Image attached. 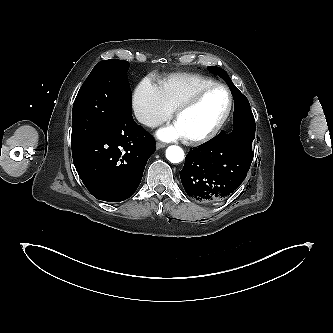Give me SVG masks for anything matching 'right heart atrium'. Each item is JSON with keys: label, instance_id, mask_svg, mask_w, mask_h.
<instances>
[{"label": "right heart atrium", "instance_id": "d8ad5b80", "mask_svg": "<svg viewBox=\"0 0 333 333\" xmlns=\"http://www.w3.org/2000/svg\"><path fill=\"white\" fill-rule=\"evenodd\" d=\"M132 105L137 120L151 128L167 121L172 114L159 87L148 79L143 80L135 89Z\"/></svg>", "mask_w": 333, "mask_h": 333}]
</instances>
